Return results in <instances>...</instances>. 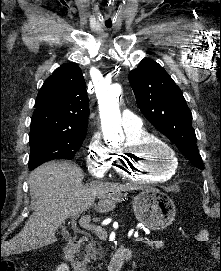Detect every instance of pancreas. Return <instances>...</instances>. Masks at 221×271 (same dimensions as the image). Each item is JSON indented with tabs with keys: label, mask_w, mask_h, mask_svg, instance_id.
<instances>
[{
	"label": "pancreas",
	"mask_w": 221,
	"mask_h": 271,
	"mask_svg": "<svg viewBox=\"0 0 221 271\" xmlns=\"http://www.w3.org/2000/svg\"><path fill=\"white\" fill-rule=\"evenodd\" d=\"M142 244H146L147 247H165L166 239H142ZM102 247H96V241H90L88 243L84 255H82L83 263H89L91 259H96L99 251Z\"/></svg>",
	"instance_id": "cf45deb5"
}]
</instances>
